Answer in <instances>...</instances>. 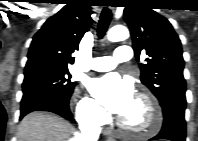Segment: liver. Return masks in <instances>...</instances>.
Listing matches in <instances>:
<instances>
[{"label": "liver", "instance_id": "obj_1", "mask_svg": "<svg viewBox=\"0 0 198 141\" xmlns=\"http://www.w3.org/2000/svg\"><path fill=\"white\" fill-rule=\"evenodd\" d=\"M18 141H77L73 126L63 118L47 112H32L19 124Z\"/></svg>", "mask_w": 198, "mask_h": 141}]
</instances>
